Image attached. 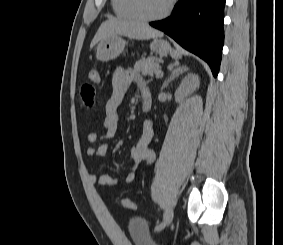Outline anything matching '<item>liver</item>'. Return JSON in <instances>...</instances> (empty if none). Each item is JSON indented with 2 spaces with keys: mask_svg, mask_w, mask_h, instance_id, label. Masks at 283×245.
<instances>
[{
  "mask_svg": "<svg viewBox=\"0 0 283 245\" xmlns=\"http://www.w3.org/2000/svg\"><path fill=\"white\" fill-rule=\"evenodd\" d=\"M114 34L138 40L163 36L162 32L151 28L148 24L111 18L101 24L90 44V48H93L103 38Z\"/></svg>",
  "mask_w": 283,
  "mask_h": 245,
  "instance_id": "6515ba94",
  "label": "liver"
}]
</instances>
